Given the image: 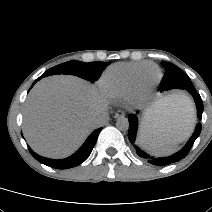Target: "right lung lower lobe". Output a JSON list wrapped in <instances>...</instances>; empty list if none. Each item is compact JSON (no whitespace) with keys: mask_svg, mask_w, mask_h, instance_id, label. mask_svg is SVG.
Returning a JSON list of instances; mask_svg holds the SVG:
<instances>
[{"mask_svg":"<svg viewBox=\"0 0 212 212\" xmlns=\"http://www.w3.org/2000/svg\"><path fill=\"white\" fill-rule=\"evenodd\" d=\"M46 76H47L46 73L41 75L38 79L35 80V82L32 84V86L38 80H40L41 78L46 77ZM32 86H31V88H32ZM101 130H102V128H99V129H96L95 131H93L92 134L84 142V144L80 147V149L78 151H76L73 155H71L65 159L55 160V159L45 158V157H42V156H39L38 154H36L31 148H29V147L28 148H29L31 155L36 160H38L40 163H43V164H45L49 167L55 168V169L72 168V167L80 165L82 162H84L89 157Z\"/></svg>","mask_w":212,"mask_h":212,"instance_id":"obj_1","label":"right lung lower lobe"}]
</instances>
